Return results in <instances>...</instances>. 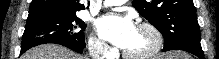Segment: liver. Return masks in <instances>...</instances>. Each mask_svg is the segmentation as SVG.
Wrapping results in <instances>:
<instances>
[{
	"label": "liver",
	"mask_w": 219,
	"mask_h": 59,
	"mask_svg": "<svg viewBox=\"0 0 219 59\" xmlns=\"http://www.w3.org/2000/svg\"><path fill=\"white\" fill-rule=\"evenodd\" d=\"M21 59H87L71 50L55 44H44L36 46L26 53Z\"/></svg>",
	"instance_id": "liver-1"
}]
</instances>
